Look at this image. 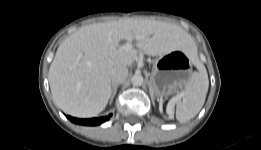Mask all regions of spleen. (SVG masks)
<instances>
[{
    "label": "spleen",
    "instance_id": "obj_1",
    "mask_svg": "<svg viewBox=\"0 0 261 150\" xmlns=\"http://www.w3.org/2000/svg\"><path fill=\"white\" fill-rule=\"evenodd\" d=\"M192 59L199 72H194L185 85L184 94L175 97L176 118L180 122L194 118L203 107L209 87L208 74L205 67L198 64L196 50L191 51Z\"/></svg>",
    "mask_w": 261,
    "mask_h": 150
}]
</instances>
